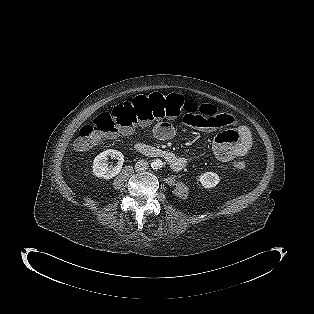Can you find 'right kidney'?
<instances>
[{"label":"right kidney","instance_id":"obj_1","mask_svg":"<svg viewBox=\"0 0 314 314\" xmlns=\"http://www.w3.org/2000/svg\"><path fill=\"white\" fill-rule=\"evenodd\" d=\"M114 157L118 159L116 166H109L107 164L108 157ZM124 162V156L121 152L113 149H108L97 155L93 162V173L97 177L104 179H111L118 175L122 169Z\"/></svg>","mask_w":314,"mask_h":314}]
</instances>
